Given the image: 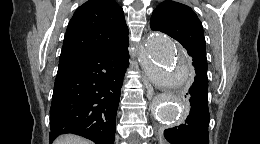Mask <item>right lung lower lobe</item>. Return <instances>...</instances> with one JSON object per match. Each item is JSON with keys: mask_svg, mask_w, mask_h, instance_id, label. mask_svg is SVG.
<instances>
[{"mask_svg": "<svg viewBox=\"0 0 260 144\" xmlns=\"http://www.w3.org/2000/svg\"><path fill=\"white\" fill-rule=\"evenodd\" d=\"M129 43L59 62L50 108V142L73 133L113 144Z\"/></svg>", "mask_w": 260, "mask_h": 144, "instance_id": "obj_1", "label": "right lung lower lobe"}]
</instances>
